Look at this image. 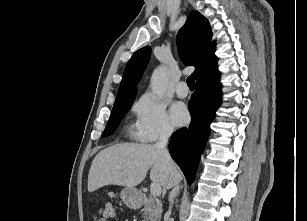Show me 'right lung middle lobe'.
<instances>
[{"instance_id":"obj_1","label":"right lung middle lobe","mask_w":307,"mask_h":221,"mask_svg":"<svg viewBox=\"0 0 307 221\" xmlns=\"http://www.w3.org/2000/svg\"><path fill=\"white\" fill-rule=\"evenodd\" d=\"M135 97L119 101L114 103L109 121L107 126L102 134L103 137L111 135L118 124L120 123L121 119L124 117L125 113L130 109Z\"/></svg>"}]
</instances>
